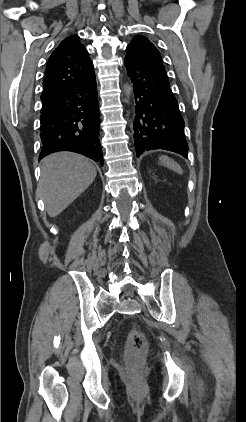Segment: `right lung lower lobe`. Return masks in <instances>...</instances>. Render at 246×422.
Instances as JSON below:
<instances>
[{"mask_svg":"<svg viewBox=\"0 0 246 422\" xmlns=\"http://www.w3.org/2000/svg\"><path fill=\"white\" fill-rule=\"evenodd\" d=\"M40 118V159L57 151H73L103 165L95 75L42 101Z\"/></svg>","mask_w":246,"mask_h":422,"instance_id":"98d812e1","label":"right lung lower lobe"}]
</instances>
